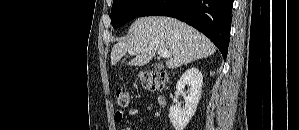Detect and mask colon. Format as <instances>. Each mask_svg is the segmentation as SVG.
<instances>
[{"label":"colon","mask_w":299,"mask_h":130,"mask_svg":"<svg viewBox=\"0 0 299 130\" xmlns=\"http://www.w3.org/2000/svg\"><path fill=\"white\" fill-rule=\"evenodd\" d=\"M141 84L151 90L162 88L167 81V74L160 71L141 70L138 73ZM117 103L121 107H126L130 103V93L126 88H119L116 91Z\"/></svg>","instance_id":"5ec220e1"}]
</instances>
